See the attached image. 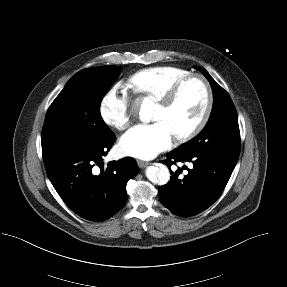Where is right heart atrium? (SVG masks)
<instances>
[{
	"mask_svg": "<svg viewBox=\"0 0 287 287\" xmlns=\"http://www.w3.org/2000/svg\"><path fill=\"white\" fill-rule=\"evenodd\" d=\"M99 114L102 121L114 129L122 131L130 125V98L123 84H116L103 96Z\"/></svg>",
	"mask_w": 287,
	"mask_h": 287,
	"instance_id": "obj_1",
	"label": "right heart atrium"
}]
</instances>
